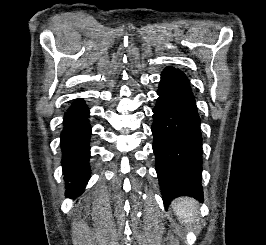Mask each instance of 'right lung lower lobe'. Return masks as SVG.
I'll return each instance as SVG.
<instances>
[{
  "mask_svg": "<svg viewBox=\"0 0 266 245\" xmlns=\"http://www.w3.org/2000/svg\"><path fill=\"white\" fill-rule=\"evenodd\" d=\"M88 117L89 109L82 99H75L64 114V128L61 132V164L65 175L66 196L71 198L80 195L90 178L91 127Z\"/></svg>",
  "mask_w": 266,
  "mask_h": 245,
  "instance_id": "98d812e1",
  "label": "right lung lower lobe"
}]
</instances>
